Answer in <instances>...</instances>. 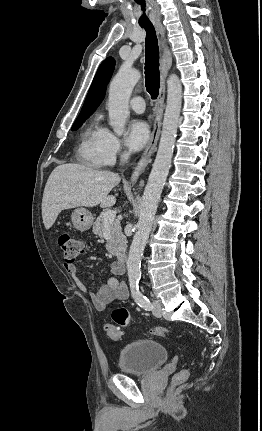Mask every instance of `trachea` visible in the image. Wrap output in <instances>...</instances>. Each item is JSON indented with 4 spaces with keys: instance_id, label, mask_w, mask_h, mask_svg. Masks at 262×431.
Wrapping results in <instances>:
<instances>
[{
    "instance_id": "1",
    "label": "trachea",
    "mask_w": 262,
    "mask_h": 431,
    "mask_svg": "<svg viewBox=\"0 0 262 431\" xmlns=\"http://www.w3.org/2000/svg\"><path fill=\"white\" fill-rule=\"evenodd\" d=\"M140 10H146L145 0H136ZM145 29V85L152 99L157 98L160 87L159 47L155 29L152 25L141 26Z\"/></svg>"
}]
</instances>
